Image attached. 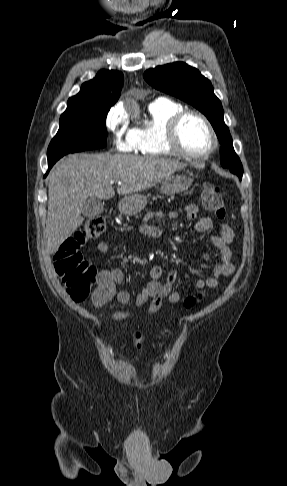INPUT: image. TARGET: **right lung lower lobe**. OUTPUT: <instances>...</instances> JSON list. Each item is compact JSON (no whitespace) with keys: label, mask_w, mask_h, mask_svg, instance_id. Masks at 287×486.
Returning a JSON list of instances; mask_svg holds the SVG:
<instances>
[{"label":"right lung lower lobe","mask_w":287,"mask_h":486,"mask_svg":"<svg viewBox=\"0 0 287 486\" xmlns=\"http://www.w3.org/2000/svg\"><path fill=\"white\" fill-rule=\"evenodd\" d=\"M53 164H54V163H50V164H48V171L51 169V167L53 166ZM47 173H48V172H47ZM46 175H47V174H46ZM46 175H45V176H46Z\"/></svg>","instance_id":"obj_1"}]
</instances>
